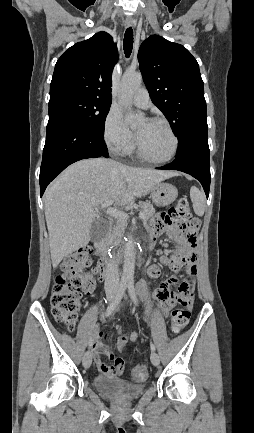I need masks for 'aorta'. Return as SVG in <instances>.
Here are the masks:
<instances>
[{
  "label": "aorta",
  "instance_id": "obj_1",
  "mask_svg": "<svg viewBox=\"0 0 254 433\" xmlns=\"http://www.w3.org/2000/svg\"><path fill=\"white\" fill-rule=\"evenodd\" d=\"M141 83L142 76L139 72H126L122 77L119 101L125 111V123L130 126L136 125L144 117L142 113H136L132 109V96ZM134 269L135 249L132 237L128 236L124 252L122 282L133 281Z\"/></svg>",
  "mask_w": 254,
  "mask_h": 433
}]
</instances>
